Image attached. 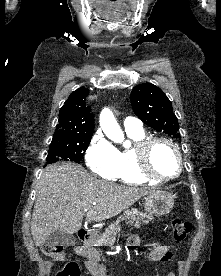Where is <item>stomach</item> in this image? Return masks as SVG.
Listing matches in <instances>:
<instances>
[{
  "mask_svg": "<svg viewBox=\"0 0 221 276\" xmlns=\"http://www.w3.org/2000/svg\"><path fill=\"white\" fill-rule=\"evenodd\" d=\"M174 197L165 191H153L145 198V211L149 214L165 215L171 211Z\"/></svg>",
  "mask_w": 221,
  "mask_h": 276,
  "instance_id": "stomach-1",
  "label": "stomach"
}]
</instances>
